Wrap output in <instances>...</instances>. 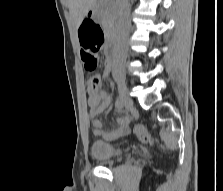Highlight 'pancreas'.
Here are the masks:
<instances>
[{
	"label": "pancreas",
	"mask_w": 223,
	"mask_h": 191,
	"mask_svg": "<svg viewBox=\"0 0 223 191\" xmlns=\"http://www.w3.org/2000/svg\"><path fill=\"white\" fill-rule=\"evenodd\" d=\"M101 14H102V22L104 29H109L113 24V9L109 5H104L101 7Z\"/></svg>",
	"instance_id": "obj_1"
}]
</instances>
